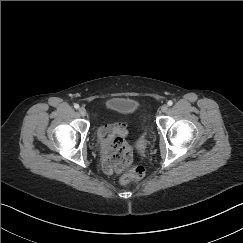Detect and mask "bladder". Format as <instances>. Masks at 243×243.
<instances>
[{"label": "bladder", "instance_id": "1", "mask_svg": "<svg viewBox=\"0 0 243 243\" xmlns=\"http://www.w3.org/2000/svg\"><path fill=\"white\" fill-rule=\"evenodd\" d=\"M107 106L110 112L127 118H132L137 109L136 102L128 98H111Z\"/></svg>", "mask_w": 243, "mask_h": 243}]
</instances>
